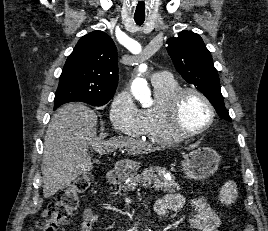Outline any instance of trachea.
Segmentation results:
<instances>
[{"label": "trachea", "instance_id": "trachea-1", "mask_svg": "<svg viewBox=\"0 0 268 231\" xmlns=\"http://www.w3.org/2000/svg\"><path fill=\"white\" fill-rule=\"evenodd\" d=\"M137 25H142L144 23V19H136L134 18Z\"/></svg>", "mask_w": 268, "mask_h": 231}]
</instances>
